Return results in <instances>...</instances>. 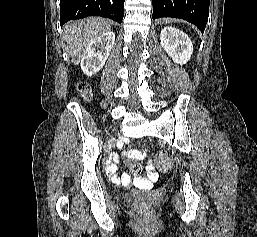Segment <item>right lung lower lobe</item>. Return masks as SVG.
Instances as JSON below:
<instances>
[{"label":"right lung lower lobe","instance_id":"1","mask_svg":"<svg viewBox=\"0 0 257 237\" xmlns=\"http://www.w3.org/2000/svg\"><path fill=\"white\" fill-rule=\"evenodd\" d=\"M125 0H60V24L88 16L122 22Z\"/></svg>","mask_w":257,"mask_h":237}]
</instances>
